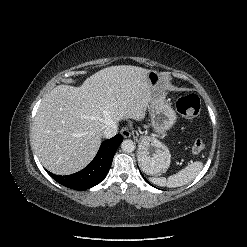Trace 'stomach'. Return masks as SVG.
I'll return each mask as SVG.
<instances>
[{"instance_id": "0dacf381", "label": "stomach", "mask_w": 247, "mask_h": 247, "mask_svg": "<svg viewBox=\"0 0 247 247\" xmlns=\"http://www.w3.org/2000/svg\"><path fill=\"white\" fill-rule=\"evenodd\" d=\"M148 79L155 89L154 98L150 104L151 123L156 133L154 136H144L139 141L138 162L147 175L157 176L165 173L171 163V153L166 145L158 140L164 138L176 122V113L171 104L165 100L160 90L161 74L149 71Z\"/></svg>"}]
</instances>
